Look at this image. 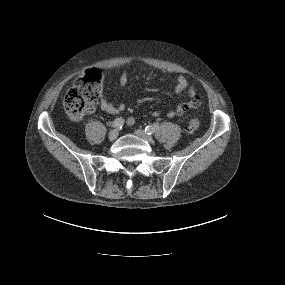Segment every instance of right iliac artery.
<instances>
[{"instance_id":"1","label":"right iliac artery","mask_w":285,"mask_h":285,"mask_svg":"<svg viewBox=\"0 0 285 285\" xmlns=\"http://www.w3.org/2000/svg\"><path fill=\"white\" fill-rule=\"evenodd\" d=\"M124 124V119L123 118H116L113 122H112V127L114 128H121Z\"/></svg>"}]
</instances>
